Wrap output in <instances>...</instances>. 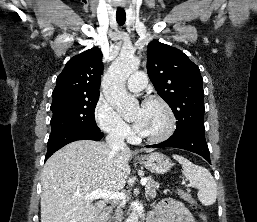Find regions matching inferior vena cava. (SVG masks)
Here are the masks:
<instances>
[{
	"instance_id": "inferior-vena-cava-1",
	"label": "inferior vena cava",
	"mask_w": 257,
	"mask_h": 222,
	"mask_svg": "<svg viewBox=\"0 0 257 222\" xmlns=\"http://www.w3.org/2000/svg\"><path fill=\"white\" fill-rule=\"evenodd\" d=\"M106 144L109 146L112 152H117L120 149L126 147L124 142V136L116 131L109 133L106 136ZM115 222H122V214L117 212L114 217Z\"/></svg>"
}]
</instances>
